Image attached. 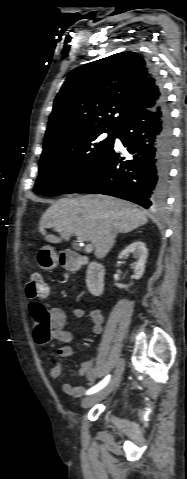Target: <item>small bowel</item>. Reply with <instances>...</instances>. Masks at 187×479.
<instances>
[{"mask_svg":"<svg viewBox=\"0 0 187 479\" xmlns=\"http://www.w3.org/2000/svg\"><path fill=\"white\" fill-rule=\"evenodd\" d=\"M72 313L77 318H84L87 316L86 312L79 307L72 309ZM51 326L50 331L52 338L58 342L59 346L57 347V355L62 358H70L74 356V350L70 346L72 341V334L70 331L65 329L66 323V314L61 308H51ZM88 318L92 323V332L94 334H99L102 331V324L104 321L103 314L99 309H93L89 312ZM62 366L59 363L53 364L49 369V376L53 379H57L61 376ZM76 375L78 377H85L87 379L88 385H94L99 379V372L94 366L93 360L85 361L81 364L80 368L77 370ZM62 392L73 398H80L85 392V387L81 385H73L71 383H63L61 386Z\"/></svg>","mask_w":187,"mask_h":479,"instance_id":"obj_1","label":"small bowel"}]
</instances>
